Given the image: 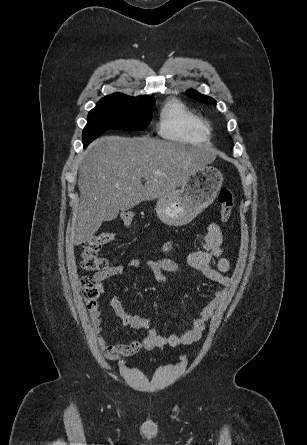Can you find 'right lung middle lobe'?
Returning <instances> with one entry per match:
<instances>
[{"instance_id": "1", "label": "right lung middle lobe", "mask_w": 307, "mask_h": 445, "mask_svg": "<svg viewBox=\"0 0 307 445\" xmlns=\"http://www.w3.org/2000/svg\"><path fill=\"white\" fill-rule=\"evenodd\" d=\"M153 104L123 97L102 98L88 114L82 134L85 147L108 129L143 130L151 122Z\"/></svg>"}]
</instances>
